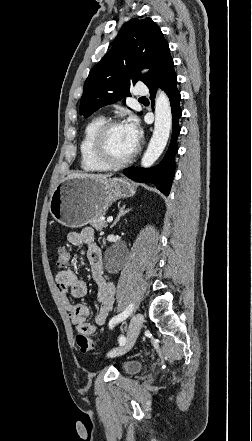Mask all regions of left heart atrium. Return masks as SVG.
<instances>
[{
  "label": "left heart atrium",
  "instance_id": "left-heart-atrium-1",
  "mask_svg": "<svg viewBox=\"0 0 252 441\" xmlns=\"http://www.w3.org/2000/svg\"><path fill=\"white\" fill-rule=\"evenodd\" d=\"M129 142L133 149H136L139 141H140V131L138 129V124L135 119H130L127 123L124 124Z\"/></svg>",
  "mask_w": 252,
  "mask_h": 441
}]
</instances>
